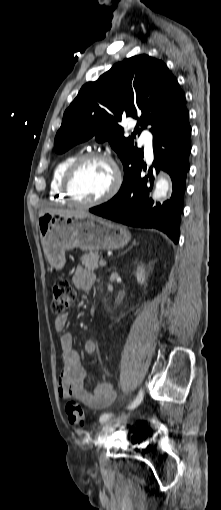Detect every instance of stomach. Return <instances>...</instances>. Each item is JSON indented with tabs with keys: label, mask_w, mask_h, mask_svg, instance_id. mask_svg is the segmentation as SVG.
I'll use <instances>...</instances> for the list:
<instances>
[{
	"label": "stomach",
	"mask_w": 221,
	"mask_h": 510,
	"mask_svg": "<svg viewBox=\"0 0 221 510\" xmlns=\"http://www.w3.org/2000/svg\"><path fill=\"white\" fill-rule=\"evenodd\" d=\"M38 227L46 258L56 269L64 266L66 251L118 249L131 239L130 232L122 225L93 215L74 217L44 213L39 216Z\"/></svg>",
	"instance_id": "stomach-1"
}]
</instances>
